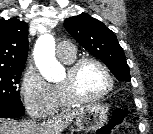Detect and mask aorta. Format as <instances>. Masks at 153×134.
<instances>
[{
    "mask_svg": "<svg viewBox=\"0 0 153 134\" xmlns=\"http://www.w3.org/2000/svg\"><path fill=\"white\" fill-rule=\"evenodd\" d=\"M34 59L41 75L49 82L54 81L62 66L55 58V41L50 34L45 33L38 38Z\"/></svg>",
    "mask_w": 153,
    "mask_h": 134,
    "instance_id": "obj_1",
    "label": "aorta"
}]
</instances>
